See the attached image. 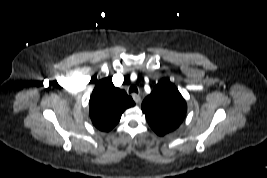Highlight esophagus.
Returning <instances> with one entry per match:
<instances>
[{"label": "esophagus", "instance_id": "esophagus-1", "mask_svg": "<svg viewBox=\"0 0 267 178\" xmlns=\"http://www.w3.org/2000/svg\"><path fill=\"white\" fill-rule=\"evenodd\" d=\"M132 98L137 104L141 102V97L137 94H132Z\"/></svg>", "mask_w": 267, "mask_h": 178}]
</instances>
